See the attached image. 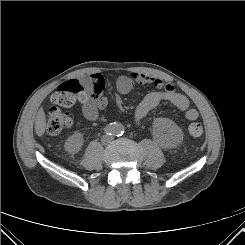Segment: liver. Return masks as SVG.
I'll return each mask as SVG.
<instances>
[{"mask_svg":"<svg viewBox=\"0 0 245 245\" xmlns=\"http://www.w3.org/2000/svg\"><path fill=\"white\" fill-rule=\"evenodd\" d=\"M46 129V117L43 108H40L35 119V132L41 137Z\"/></svg>","mask_w":245,"mask_h":245,"instance_id":"6515ba94","label":"liver"}]
</instances>
